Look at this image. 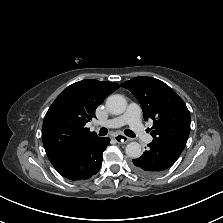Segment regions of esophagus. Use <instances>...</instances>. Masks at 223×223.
Segmentation results:
<instances>
[{
    "mask_svg": "<svg viewBox=\"0 0 223 223\" xmlns=\"http://www.w3.org/2000/svg\"><path fill=\"white\" fill-rule=\"evenodd\" d=\"M113 138L118 142V143H128L130 141V138H128L125 135L122 134H116L113 136Z\"/></svg>",
    "mask_w": 223,
    "mask_h": 223,
    "instance_id": "34e87169",
    "label": "esophagus"
}]
</instances>
